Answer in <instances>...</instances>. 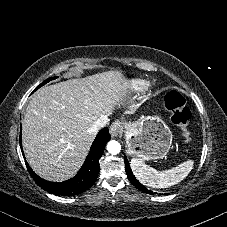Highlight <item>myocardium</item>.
Wrapping results in <instances>:
<instances>
[{
	"instance_id": "f54148a6",
	"label": "myocardium",
	"mask_w": 227,
	"mask_h": 227,
	"mask_svg": "<svg viewBox=\"0 0 227 227\" xmlns=\"http://www.w3.org/2000/svg\"><path fill=\"white\" fill-rule=\"evenodd\" d=\"M147 90H148L147 88H144V90H143V91H144V92H146Z\"/></svg>"
}]
</instances>
